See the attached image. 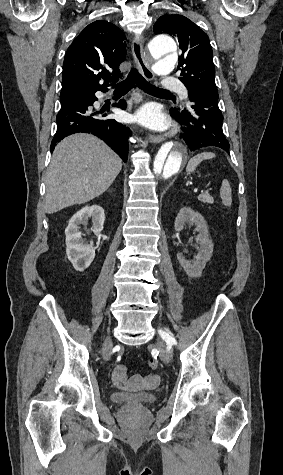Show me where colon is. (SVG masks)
<instances>
[{"label":"colon","mask_w":283,"mask_h":475,"mask_svg":"<svg viewBox=\"0 0 283 475\" xmlns=\"http://www.w3.org/2000/svg\"><path fill=\"white\" fill-rule=\"evenodd\" d=\"M158 364H159V363H158V360L155 359V358H153V359H151V360L149 361V367H150L151 369H156V368L158 367Z\"/></svg>","instance_id":"obj_1"}]
</instances>
